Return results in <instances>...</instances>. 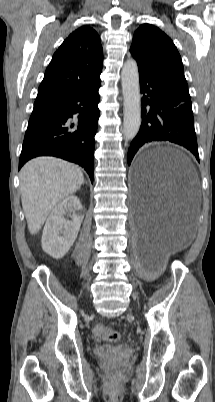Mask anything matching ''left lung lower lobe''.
Returning <instances> with one entry per match:
<instances>
[{
	"mask_svg": "<svg viewBox=\"0 0 215 402\" xmlns=\"http://www.w3.org/2000/svg\"><path fill=\"white\" fill-rule=\"evenodd\" d=\"M142 123L128 150L130 165L138 149L154 141H167L191 151L199 161L192 103L163 80L139 71Z\"/></svg>",
	"mask_w": 215,
	"mask_h": 402,
	"instance_id": "0a47b994",
	"label": "left lung lower lobe"
}]
</instances>
